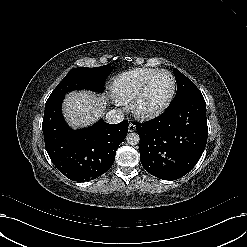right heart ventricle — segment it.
<instances>
[{"label": "right heart ventricle", "mask_w": 247, "mask_h": 247, "mask_svg": "<svg viewBox=\"0 0 247 247\" xmlns=\"http://www.w3.org/2000/svg\"><path fill=\"white\" fill-rule=\"evenodd\" d=\"M156 68L140 67L121 73L113 83V95L120 103L130 102Z\"/></svg>", "instance_id": "1"}]
</instances>
